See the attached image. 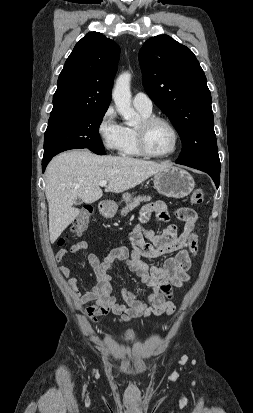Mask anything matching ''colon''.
Returning a JSON list of instances; mask_svg holds the SVG:
<instances>
[{
    "label": "colon",
    "instance_id": "obj_1",
    "mask_svg": "<svg viewBox=\"0 0 253 413\" xmlns=\"http://www.w3.org/2000/svg\"><path fill=\"white\" fill-rule=\"evenodd\" d=\"M204 192L200 188H196L190 195V202L195 205H199L203 202ZM92 207L90 205H85L76 219L73 227V233L75 236H80L88 227V223L92 214ZM65 240L61 239L59 244H64Z\"/></svg>",
    "mask_w": 253,
    "mask_h": 413
}]
</instances>
